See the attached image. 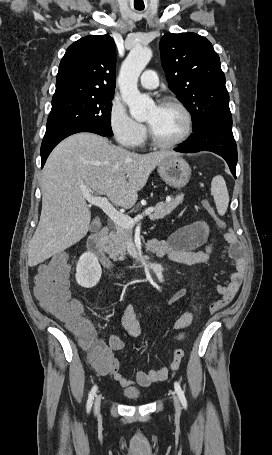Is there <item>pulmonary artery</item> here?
Here are the masks:
<instances>
[{"label": "pulmonary artery", "instance_id": "obj_1", "mask_svg": "<svg viewBox=\"0 0 272 455\" xmlns=\"http://www.w3.org/2000/svg\"><path fill=\"white\" fill-rule=\"evenodd\" d=\"M140 85L145 89H155L158 86V76L154 70H146L140 78Z\"/></svg>", "mask_w": 272, "mask_h": 455}]
</instances>
